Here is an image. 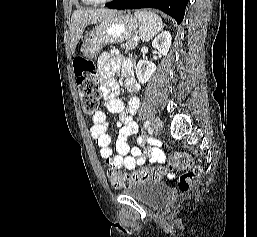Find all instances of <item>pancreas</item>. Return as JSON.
Returning a JSON list of instances; mask_svg holds the SVG:
<instances>
[{"label":"pancreas","instance_id":"pancreas-1","mask_svg":"<svg viewBox=\"0 0 257 237\" xmlns=\"http://www.w3.org/2000/svg\"><path fill=\"white\" fill-rule=\"evenodd\" d=\"M137 46V41L134 39H131L127 41L126 43L121 44V47L125 50H132Z\"/></svg>","mask_w":257,"mask_h":237}]
</instances>
